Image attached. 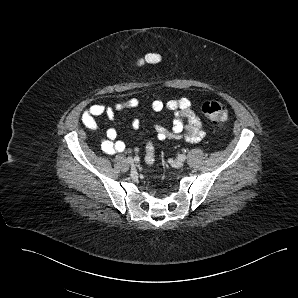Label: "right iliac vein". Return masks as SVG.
<instances>
[{
	"label": "right iliac vein",
	"mask_w": 298,
	"mask_h": 298,
	"mask_svg": "<svg viewBox=\"0 0 298 298\" xmlns=\"http://www.w3.org/2000/svg\"><path fill=\"white\" fill-rule=\"evenodd\" d=\"M127 162L132 165L134 164L135 160L132 157H128Z\"/></svg>",
	"instance_id": "1"
}]
</instances>
